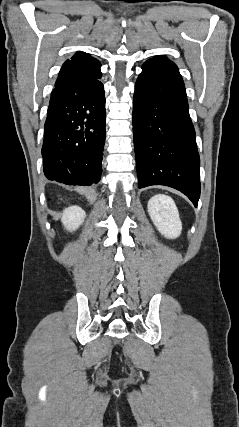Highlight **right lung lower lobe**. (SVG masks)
Instances as JSON below:
<instances>
[{
	"label": "right lung lower lobe",
	"instance_id": "1",
	"mask_svg": "<svg viewBox=\"0 0 239 427\" xmlns=\"http://www.w3.org/2000/svg\"><path fill=\"white\" fill-rule=\"evenodd\" d=\"M101 72L56 84L51 93L42 146L49 180L68 185L97 183L105 142Z\"/></svg>",
	"mask_w": 239,
	"mask_h": 427
}]
</instances>
